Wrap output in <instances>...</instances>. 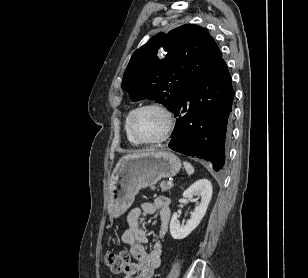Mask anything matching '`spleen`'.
I'll return each mask as SVG.
<instances>
[{"label":"spleen","mask_w":308,"mask_h":278,"mask_svg":"<svg viewBox=\"0 0 308 278\" xmlns=\"http://www.w3.org/2000/svg\"><path fill=\"white\" fill-rule=\"evenodd\" d=\"M183 165L189 175L194 173V167L189 162H184Z\"/></svg>","instance_id":"1"}]
</instances>
